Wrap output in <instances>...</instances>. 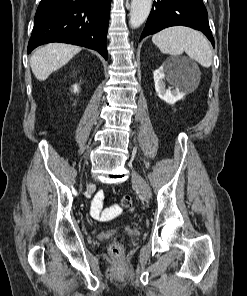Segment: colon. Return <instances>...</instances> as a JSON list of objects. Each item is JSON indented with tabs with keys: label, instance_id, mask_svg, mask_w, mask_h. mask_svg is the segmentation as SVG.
I'll return each mask as SVG.
<instances>
[{
	"label": "colon",
	"instance_id": "5ec220e1",
	"mask_svg": "<svg viewBox=\"0 0 247 296\" xmlns=\"http://www.w3.org/2000/svg\"><path fill=\"white\" fill-rule=\"evenodd\" d=\"M132 205V198L129 195H125L122 197L120 201V206H115L111 208V211L107 214H101L100 217L103 219L111 218L115 215H117L120 212V208H127ZM122 236L117 235L114 242L110 246V253L112 255H119L122 250L121 246Z\"/></svg>",
	"mask_w": 247,
	"mask_h": 296
}]
</instances>
